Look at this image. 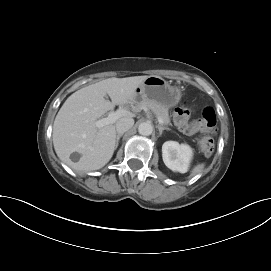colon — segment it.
Returning <instances> with one entry per match:
<instances>
[{"instance_id":"obj_1","label":"colon","mask_w":271,"mask_h":271,"mask_svg":"<svg viewBox=\"0 0 271 271\" xmlns=\"http://www.w3.org/2000/svg\"><path fill=\"white\" fill-rule=\"evenodd\" d=\"M192 112L193 108L189 104L177 108L174 112L175 124L187 134L199 133V150L205 155H210L214 149L211 133L215 130L217 123L215 110L211 107L205 108L197 121L191 120Z\"/></svg>"}]
</instances>
